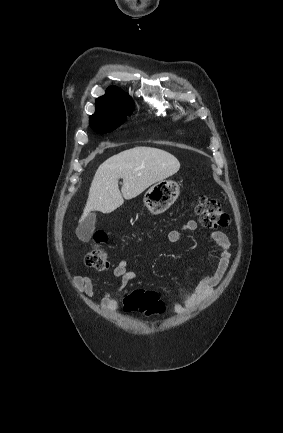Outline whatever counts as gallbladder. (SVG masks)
Masks as SVG:
<instances>
[{
    "label": "gallbladder",
    "mask_w": 283,
    "mask_h": 433,
    "mask_svg": "<svg viewBox=\"0 0 283 433\" xmlns=\"http://www.w3.org/2000/svg\"><path fill=\"white\" fill-rule=\"evenodd\" d=\"M96 223V212H89L86 219L82 221L81 225L76 229V235L78 239H81L83 243H88L90 241L93 231L95 229Z\"/></svg>",
    "instance_id": "bac80fb5"
}]
</instances>
